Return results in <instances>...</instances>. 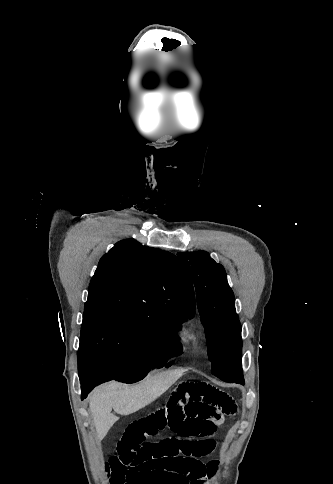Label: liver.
<instances>
[{
  "instance_id": "6515ba94",
  "label": "liver",
  "mask_w": 333,
  "mask_h": 484,
  "mask_svg": "<svg viewBox=\"0 0 333 484\" xmlns=\"http://www.w3.org/2000/svg\"><path fill=\"white\" fill-rule=\"evenodd\" d=\"M183 373L182 369L170 370L136 385L111 381L95 388L89 397V410L98 439L102 440L119 419L111 413L112 408L120 415L132 414L165 393Z\"/></svg>"
}]
</instances>
